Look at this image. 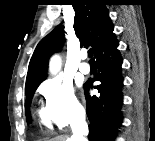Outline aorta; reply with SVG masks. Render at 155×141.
<instances>
[{"label": "aorta", "instance_id": "762f6f07", "mask_svg": "<svg viewBox=\"0 0 155 141\" xmlns=\"http://www.w3.org/2000/svg\"><path fill=\"white\" fill-rule=\"evenodd\" d=\"M60 65H61V62H60L59 56L57 55L53 56L51 58L50 65H49L50 72L52 74H56L60 69Z\"/></svg>", "mask_w": 155, "mask_h": 141}]
</instances>
